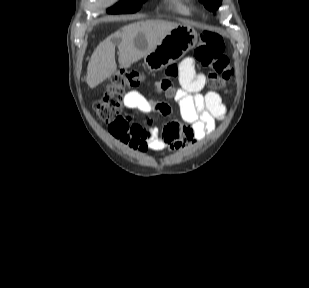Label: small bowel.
<instances>
[{"label":"small bowel","instance_id":"1","mask_svg":"<svg viewBox=\"0 0 309 288\" xmlns=\"http://www.w3.org/2000/svg\"><path fill=\"white\" fill-rule=\"evenodd\" d=\"M168 76H178L180 88L174 93L184 124L171 121L162 131L153 126H143L131 121L125 124L115 121L110 124L109 132L123 145L139 153L149 150H180L210 135L226 114V107L218 93L210 91L205 94L201 90L205 85V77L198 73L192 58L187 57L177 66L167 70ZM163 82L169 83L168 80ZM127 108L145 114L168 116L171 107L168 103L154 101L138 91H129L124 97Z\"/></svg>","mask_w":309,"mask_h":288}]
</instances>
